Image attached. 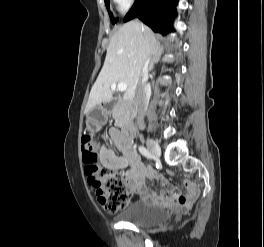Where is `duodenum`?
I'll return each mask as SVG.
<instances>
[{
	"mask_svg": "<svg viewBox=\"0 0 264 247\" xmlns=\"http://www.w3.org/2000/svg\"><path fill=\"white\" fill-rule=\"evenodd\" d=\"M131 113L136 111V105L133 103L130 106ZM123 133L129 137L133 136L136 132L135 124L132 120H126L122 123Z\"/></svg>",
	"mask_w": 264,
	"mask_h": 247,
	"instance_id": "obj_1",
	"label": "duodenum"
}]
</instances>
